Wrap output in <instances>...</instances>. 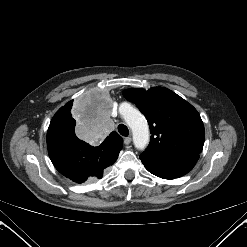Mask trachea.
Returning <instances> with one entry per match:
<instances>
[{
    "instance_id": "obj_1",
    "label": "trachea",
    "mask_w": 247,
    "mask_h": 247,
    "mask_svg": "<svg viewBox=\"0 0 247 247\" xmlns=\"http://www.w3.org/2000/svg\"><path fill=\"white\" fill-rule=\"evenodd\" d=\"M118 131L122 136H128L129 135V130L126 125L120 124L118 126Z\"/></svg>"
}]
</instances>
